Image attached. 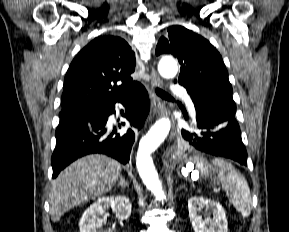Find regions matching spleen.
Wrapping results in <instances>:
<instances>
[{
    "instance_id": "1",
    "label": "spleen",
    "mask_w": 289,
    "mask_h": 232,
    "mask_svg": "<svg viewBox=\"0 0 289 232\" xmlns=\"http://www.w3.org/2000/svg\"><path fill=\"white\" fill-rule=\"evenodd\" d=\"M211 162L220 169L218 178L223 189L229 194V202L243 217H249L252 198L245 177L231 163L223 159L216 158ZM197 168L203 173L206 169L203 163H199Z\"/></svg>"
}]
</instances>
